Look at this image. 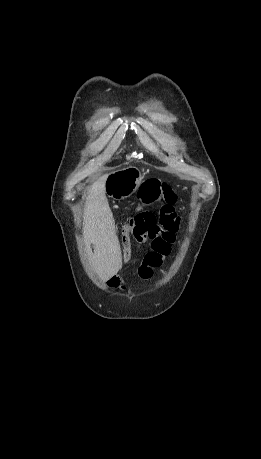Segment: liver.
Instances as JSON below:
<instances>
[{
    "instance_id": "6515ba94",
    "label": "liver",
    "mask_w": 261,
    "mask_h": 459,
    "mask_svg": "<svg viewBox=\"0 0 261 459\" xmlns=\"http://www.w3.org/2000/svg\"><path fill=\"white\" fill-rule=\"evenodd\" d=\"M106 177L101 176L90 186L83 220L84 242L93 244L94 248L92 266L104 281L116 275L122 265L121 249L105 197Z\"/></svg>"
}]
</instances>
